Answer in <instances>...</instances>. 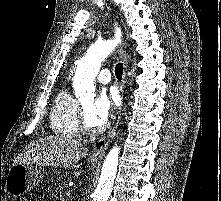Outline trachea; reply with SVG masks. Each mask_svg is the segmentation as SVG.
I'll use <instances>...</instances> for the list:
<instances>
[{"label": "trachea", "mask_w": 221, "mask_h": 201, "mask_svg": "<svg viewBox=\"0 0 221 201\" xmlns=\"http://www.w3.org/2000/svg\"><path fill=\"white\" fill-rule=\"evenodd\" d=\"M115 75L117 77L118 80L122 79V75H123V64L122 63H118L115 67Z\"/></svg>", "instance_id": "3493384b"}]
</instances>
